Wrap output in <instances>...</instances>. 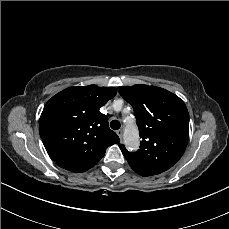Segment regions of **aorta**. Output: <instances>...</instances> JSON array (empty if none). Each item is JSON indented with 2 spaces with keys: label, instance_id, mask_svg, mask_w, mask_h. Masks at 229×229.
<instances>
[{
  "label": "aorta",
  "instance_id": "762f6f07",
  "mask_svg": "<svg viewBox=\"0 0 229 229\" xmlns=\"http://www.w3.org/2000/svg\"><path fill=\"white\" fill-rule=\"evenodd\" d=\"M124 142L126 146L131 150L138 149L139 146V134L136 126L127 125L124 132Z\"/></svg>",
  "mask_w": 229,
  "mask_h": 229
}]
</instances>
